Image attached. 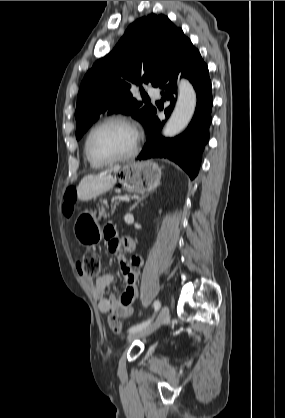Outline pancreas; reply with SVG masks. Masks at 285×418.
<instances>
[{
    "label": "pancreas",
    "mask_w": 285,
    "mask_h": 418,
    "mask_svg": "<svg viewBox=\"0 0 285 418\" xmlns=\"http://www.w3.org/2000/svg\"><path fill=\"white\" fill-rule=\"evenodd\" d=\"M106 208H107L106 204L101 205L100 212H99V217L106 218L108 216ZM112 208H115V205H113Z\"/></svg>",
    "instance_id": "cf45deb5"
}]
</instances>
